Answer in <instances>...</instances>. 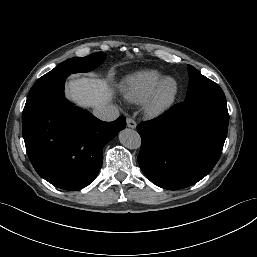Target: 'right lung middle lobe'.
I'll return each mask as SVG.
<instances>
[{
  "label": "right lung middle lobe",
  "instance_id": "dd1d6c3e",
  "mask_svg": "<svg viewBox=\"0 0 257 257\" xmlns=\"http://www.w3.org/2000/svg\"><path fill=\"white\" fill-rule=\"evenodd\" d=\"M105 58L106 55L104 53H94L86 57L68 59L60 63L37 81H47L63 75L68 76L71 73L91 71L101 65Z\"/></svg>",
  "mask_w": 257,
  "mask_h": 257
}]
</instances>
